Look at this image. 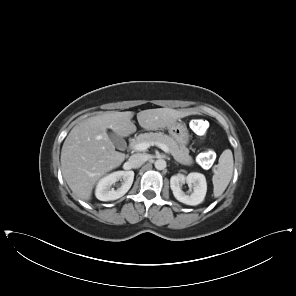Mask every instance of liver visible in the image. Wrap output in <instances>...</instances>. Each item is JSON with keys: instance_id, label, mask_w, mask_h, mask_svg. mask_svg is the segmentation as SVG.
Instances as JSON below:
<instances>
[{"instance_id": "1", "label": "liver", "mask_w": 296, "mask_h": 296, "mask_svg": "<svg viewBox=\"0 0 296 296\" xmlns=\"http://www.w3.org/2000/svg\"><path fill=\"white\" fill-rule=\"evenodd\" d=\"M192 114L195 112L191 110L147 109L137 113V120L142 128L157 130L168 128L177 119ZM133 115L132 111L105 112L72 128L62 146L61 170L76 198L90 200L96 182L125 160L126 155L115 150L107 129L120 137L134 133L137 128L131 121Z\"/></svg>"}]
</instances>
